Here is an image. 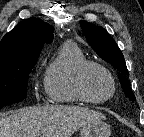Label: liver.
<instances>
[{
	"label": "liver",
	"mask_w": 144,
	"mask_h": 137,
	"mask_svg": "<svg viewBox=\"0 0 144 137\" xmlns=\"http://www.w3.org/2000/svg\"><path fill=\"white\" fill-rule=\"evenodd\" d=\"M105 118L79 106L25 107L0 115V137H71L83 126Z\"/></svg>",
	"instance_id": "6515ba94"
}]
</instances>
